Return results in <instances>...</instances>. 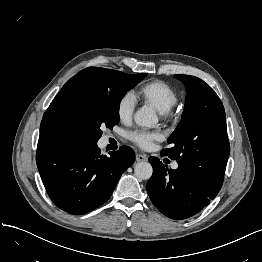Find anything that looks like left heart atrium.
I'll return each instance as SVG.
<instances>
[{"mask_svg":"<svg viewBox=\"0 0 262 262\" xmlns=\"http://www.w3.org/2000/svg\"><path fill=\"white\" fill-rule=\"evenodd\" d=\"M130 140L143 149L150 148L154 141L161 138L159 131L135 130L129 133Z\"/></svg>","mask_w":262,"mask_h":262,"instance_id":"left-heart-atrium-1","label":"left heart atrium"}]
</instances>
